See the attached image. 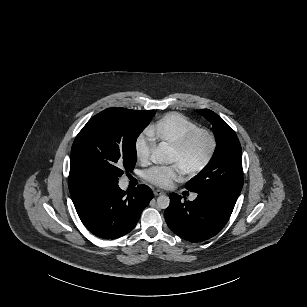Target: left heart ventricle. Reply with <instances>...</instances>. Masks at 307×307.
Returning <instances> with one entry per match:
<instances>
[{"label":"left heart ventricle","mask_w":307,"mask_h":307,"mask_svg":"<svg viewBox=\"0 0 307 307\" xmlns=\"http://www.w3.org/2000/svg\"><path fill=\"white\" fill-rule=\"evenodd\" d=\"M208 144L204 139L199 140L185 154H177L169 150L165 163H179L185 169L196 165L207 152Z\"/></svg>","instance_id":"left-heart-ventricle-1"}]
</instances>
